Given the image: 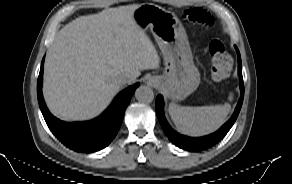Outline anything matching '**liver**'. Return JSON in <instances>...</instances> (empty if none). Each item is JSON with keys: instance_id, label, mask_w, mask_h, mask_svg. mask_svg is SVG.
I'll return each instance as SVG.
<instances>
[{"instance_id": "liver-1", "label": "liver", "mask_w": 292, "mask_h": 184, "mask_svg": "<svg viewBox=\"0 0 292 184\" xmlns=\"http://www.w3.org/2000/svg\"><path fill=\"white\" fill-rule=\"evenodd\" d=\"M138 7L121 6L81 16L60 30L44 64L43 96L53 115L85 121L100 115L141 70L159 66L158 54L136 24Z\"/></svg>"}]
</instances>
